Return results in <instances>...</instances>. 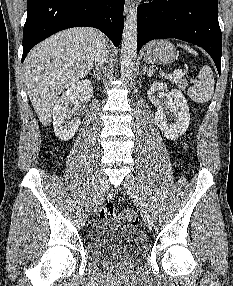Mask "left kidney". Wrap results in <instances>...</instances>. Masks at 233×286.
Listing matches in <instances>:
<instances>
[{"instance_id": "obj_1", "label": "left kidney", "mask_w": 233, "mask_h": 286, "mask_svg": "<svg viewBox=\"0 0 233 286\" xmlns=\"http://www.w3.org/2000/svg\"><path fill=\"white\" fill-rule=\"evenodd\" d=\"M150 89L154 93L156 91H167L168 87L166 83L154 82ZM157 102L155 120L158 127L168 140H176L186 132L189 126L190 114L187 101L180 90L173 89L166 94V109L175 116L173 123L169 122L162 105L159 101Z\"/></svg>"}]
</instances>
